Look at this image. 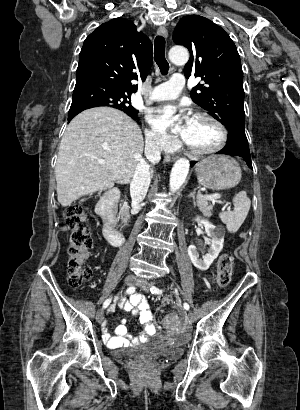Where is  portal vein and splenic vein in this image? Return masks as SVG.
<instances>
[{
  "label": "portal vein and splenic vein",
  "mask_w": 300,
  "mask_h": 410,
  "mask_svg": "<svg viewBox=\"0 0 300 410\" xmlns=\"http://www.w3.org/2000/svg\"><path fill=\"white\" fill-rule=\"evenodd\" d=\"M98 163H99V164H105V161H104L103 159H99V160H98ZM198 198H199V199H205V200L214 201V200L220 199V198H221V195L218 194V193H216V194H211V195H202V194H199V195H198ZM228 210H230V208H228Z\"/></svg>",
  "instance_id": "portal-vein-and-splenic-vein-1"
}]
</instances>
